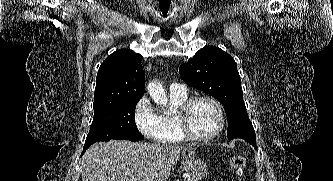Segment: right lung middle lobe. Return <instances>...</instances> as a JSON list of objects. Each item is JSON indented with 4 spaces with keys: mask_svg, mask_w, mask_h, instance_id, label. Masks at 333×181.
I'll list each match as a JSON object with an SVG mask.
<instances>
[{
    "mask_svg": "<svg viewBox=\"0 0 333 181\" xmlns=\"http://www.w3.org/2000/svg\"><path fill=\"white\" fill-rule=\"evenodd\" d=\"M138 101L132 100L94 108L93 122L84 146L111 139L130 141L143 139L135 123V107Z\"/></svg>",
    "mask_w": 333,
    "mask_h": 181,
    "instance_id": "right-lung-middle-lobe-1",
    "label": "right lung middle lobe"
}]
</instances>
